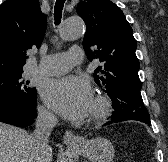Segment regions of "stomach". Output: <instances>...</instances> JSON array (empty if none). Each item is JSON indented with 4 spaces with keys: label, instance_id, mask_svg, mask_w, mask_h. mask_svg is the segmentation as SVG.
Instances as JSON below:
<instances>
[{
    "label": "stomach",
    "instance_id": "1",
    "mask_svg": "<svg viewBox=\"0 0 168 162\" xmlns=\"http://www.w3.org/2000/svg\"><path fill=\"white\" fill-rule=\"evenodd\" d=\"M71 148L91 162H112L115 154L112 143L102 137L86 140L82 146H71Z\"/></svg>",
    "mask_w": 168,
    "mask_h": 162
}]
</instances>
